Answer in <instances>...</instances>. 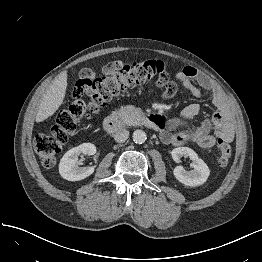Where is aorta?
<instances>
[{
  "label": "aorta",
  "instance_id": "1",
  "mask_svg": "<svg viewBox=\"0 0 262 262\" xmlns=\"http://www.w3.org/2000/svg\"><path fill=\"white\" fill-rule=\"evenodd\" d=\"M132 137L133 141L137 144H143L147 139L146 133L143 130H135Z\"/></svg>",
  "mask_w": 262,
  "mask_h": 262
}]
</instances>
